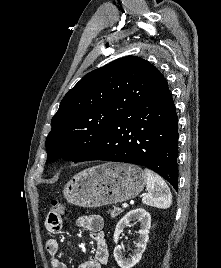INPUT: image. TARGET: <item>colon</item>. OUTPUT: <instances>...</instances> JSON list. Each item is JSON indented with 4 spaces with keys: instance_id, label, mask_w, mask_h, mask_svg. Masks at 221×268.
Instances as JSON below:
<instances>
[{
    "instance_id": "5ec220e1",
    "label": "colon",
    "mask_w": 221,
    "mask_h": 268,
    "mask_svg": "<svg viewBox=\"0 0 221 268\" xmlns=\"http://www.w3.org/2000/svg\"><path fill=\"white\" fill-rule=\"evenodd\" d=\"M64 211V205L59 200H53L51 202V211L50 213L55 216H60Z\"/></svg>"
}]
</instances>
